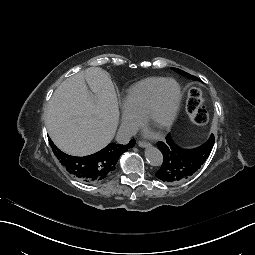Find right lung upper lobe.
<instances>
[{
    "label": "right lung upper lobe",
    "mask_w": 255,
    "mask_h": 255,
    "mask_svg": "<svg viewBox=\"0 0 255 255\" xmlns=\"http://www.w3.org/2000/svg\"><path fill=\"white\" fill-rule=\"evenodd\" d=\"M49 141L54 154L60 160L61 164L66 168V170L82 181L88 183L98 182L111 174L115 169L120 155L134 146L133 140H131L127 145L111 143L108 144L104 149L94 153V158H98L100 160V173L94 175L91 179H86L83 176V157L67 155L59 150L50 139Z\"/></svg>",
    "instance_id": "cb5924a9"
}]
</instances>
